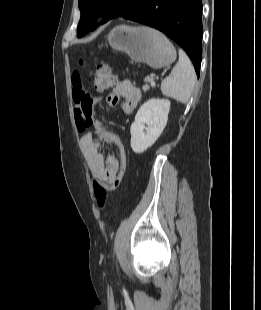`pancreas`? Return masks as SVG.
I'll use <instances>...</instances> for the list:
<instances>
[{
	"label": "pancreas",
	"mask_w": 261,
	"mask_h": 310,
	"mask_svg": "<svg viewBox=\"0 0 261 310\" xmlns=\"http://www.w3.org/2000/svg\"><path fill=\"white\" fill-rule=\"evenodd\" d=\"M144 81L146 82V85H144L143 87H142V89H143V91H147L150 87H149V85H148V83H152L153 82V78L151 77V76H147L145 79H144Z\"/></svg>",
	"instance_id": "cf45deb5"
}]
</instances>
